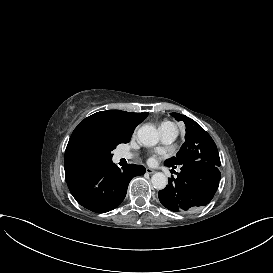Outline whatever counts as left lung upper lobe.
<instances>
[{"label":"left lung upper lobe","mask_w":273,"mask_h":273,"mask_svg":"<svg viewBox=\"0 0 273 273\" xmlns=\"http://www.w3.org/2000/svg\"><path fill=\"white\" fill-rule=\"evenodd\" d=\"M178 121L186 125L185 142L181 149L165 161L166 165H182L187 162L205 161L215 166H220V158L216 144L211 136L194 120L179 113H171Z\"/></svg>","instance_id":"1"}]
</instances>
